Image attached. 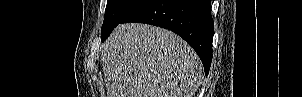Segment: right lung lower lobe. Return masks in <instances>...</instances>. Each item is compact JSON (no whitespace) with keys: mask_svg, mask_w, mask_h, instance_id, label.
<instances>
[{"mask_svg":"<svg viewBox=\"0 0 302 97\" xmlns=\"http://www.w3.org/2000/svg\"><path fill=\"white\" fill-rule=\"evenodd\" d=\"M139 22L169 29L200 57L206 75L212 61L211 0H144L120 23Z\"/></svg>","mask_w":302,"mask_h":97,"instance_id":"obj_1","label":"right lung lower lobe"}]
</instances>
